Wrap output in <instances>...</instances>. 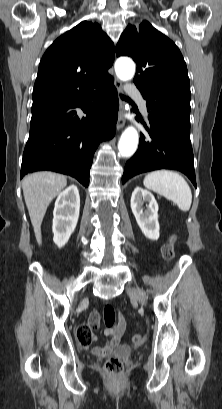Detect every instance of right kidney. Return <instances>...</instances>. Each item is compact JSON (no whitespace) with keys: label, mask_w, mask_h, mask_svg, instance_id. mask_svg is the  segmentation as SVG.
Masks as SVG:
<instances>
[{"label":"right kidney","mask_w":222,"mask_h":409,"mask_svg":"<svg viewBox=\"0 0 222 409\" xmlns=\"http://www.w3.org/2000/svg\"><path fill=\"white\" fill-rule=\"evenodd\" d=\"M80 211V196L76 185L72 184L62 191L55 202L53 211V241L62 248L74 232Z\"/></svg>","instance_id":"1"}]
</instances>
